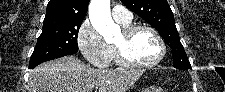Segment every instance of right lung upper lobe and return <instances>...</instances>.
Here are the masks:
<instances>
[{
  "label": "right lung upper lobe",
  "mask_w": 225,
  "mask_h": 92,
  "mask_svg": "<svg viewBox=\"0 0 225 92\" xmlns=\"http://www.w3.org/2000/svg\"><path fill=\"white\" fill-rule=\"evenodd\" d=\"M90 0H50L43 24L83 22Z\"/></svg>",
  "instance_id": "1"
}]
</instances>
